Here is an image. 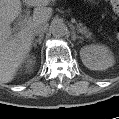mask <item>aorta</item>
I'll return each instance as SVG.
<instances>
[{
	"label": "aorta",
	"mask_w": 119,
	"mask_h": 119,
	"mask_svg": "<svg viewBox=\"0 0 119 119\" xmlns=\"http://www.w3.org/2000/svg\"><path fill=\"white\" fill-rule=\"evenodd\" d=\"M51 33L54 37L60 38L68 33L67 26L61 21H54L50 26Z\"/></svg>",
	"instance_id": "aorta-1"
}]
</instances>
